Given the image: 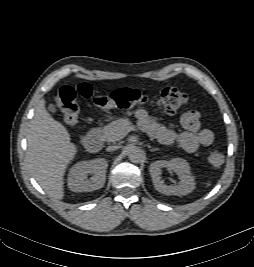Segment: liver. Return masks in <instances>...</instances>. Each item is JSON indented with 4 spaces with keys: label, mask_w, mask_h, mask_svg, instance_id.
Segmentation results:
<instances>
[{
    "label": "liver",
    "mask_w": 254,
    "mask_h": 267,
    "mask_svg": "<svg viewBox=\"0 0 254 267\" xmlns=\"http://www.w3.org/2000/svg\"><path fill=\"white\" fill-rule=\"evenodd\" d=\"M27 163L32 176L52 198L64 197V174L77 154L67 129L54 120L41 99L27 134Z\"/></svg>",
    "instance_id": "obj_1"
}]
</instances>
